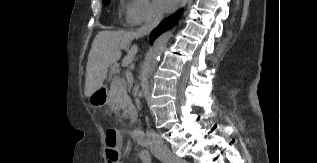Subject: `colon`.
I'll list each match as a JSON object with an SVG mask.
<instances>
[{"instance_id":"colon-1","label":"colon","mask_w":317,"mask_h":163,"mask_svg":"<svg viewBox=\"0 0 317 163\" xmlns=\"http://www.w3.org/2000/svg\"><path fill=\"white\" fill-rule=\"evenodd\" d=\"M119 134L113 128H108L105 132V148L108 163H116L119 159Z\"/></svg>"}]
</instances>
